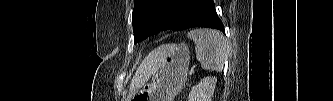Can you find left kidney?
Listing matches in <instances>:
<instances>
[{
    "label": "left kidney",
    "mask_w": 333,
    "mask_h": 101,
    "mask_svg": "<svg viewBox=\"0 0 333 101\" xmlns=\"http://www.w3.org/2000/svg\"><path fill=\"white\" fill-rule=\"evenodd\" d=\"M216 77H204L189 93V101H211L216 87Z\"/></svg>",
    "instance_id": "1"
}]
</instances>
